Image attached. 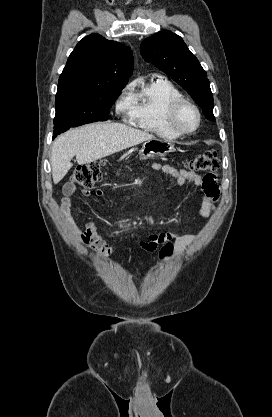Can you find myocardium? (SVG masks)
<instances>
[{
	"label": "myocardium",
	"instance_id": "f54148a6",
	"mask_svg": "<svg viewBox=\"0 0 272 417\" xmlns=\"http://www.w3.org/2000/svg\"><path fill=\"white\" fill-rule=\"evenodd\" d=\"M184 107H190L194 110L197 117L196 126L191 130H184L178 124V115ZM166 123L168 127L179 136H187L195 133L201 124V112L198 106L186 98H178L173 100L166 111Z\"/></svg>",
	"mask_w": 272,
	"mask_h": 417
}]
</instances>
